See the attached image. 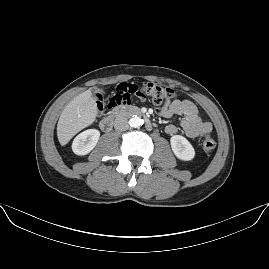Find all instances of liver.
I'll return each mask as SVG.
<instances>
[{
  "label": "liver",
  "mask_w": 269,
  "mask_h": 269,
  "mask_svg": "<svg viewBox=\"0 0 269 269\" xmlns=\"http://www.w3.org/2000/svg\"><path fill=\"white\" fill-rule=\"evenodd\" d=\"M96 114V104L90 90L75 97L65 107L58 121L57 135L60 143H68L76 133L95 120Z\"/></svg>",
  "instance_id": "6515ba94"
}]
</instances>
